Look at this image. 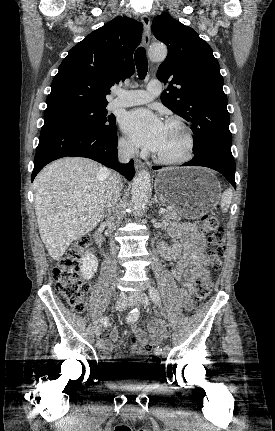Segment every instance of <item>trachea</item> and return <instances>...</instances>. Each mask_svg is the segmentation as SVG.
<instances>
[{"instance_id":"3493384b","label":"trachea","mask_w":275,"mask_h":431,"mask_svg":"<svg viewBox=\"0 0 275 431\" xmlns=\"http://www.w3.org/2000/svg\"><path fill=\"white\" fill-rule=\"evenodd\" d=\"M135 64L140 79H144L148 71V62L146 51L143 47H139L134 55Z\"/></svg>"}]
</instances>
